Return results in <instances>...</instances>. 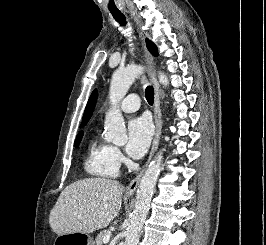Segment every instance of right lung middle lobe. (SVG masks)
Segmentation results:
<instances>
[{
	"instance_id": "obj_1",
	"label": "right lung middle lobe",
	"mask_w": 266,
	"mask_h": 245,
	"mask_svg": "<svg viewBox=\"0 0 266 245\" xmlns=\"http://www.w3.org/2000/svg\"><path fill=\"white\" fill-rule=\"evenodd\" d=\"M83 126H85V125H82L80 127L82 128ZM82 137H83V131H81V132L78 133V135H77V137L75 139L74 147H78L79 146Z\"/></svg>"
}]
</instances>
